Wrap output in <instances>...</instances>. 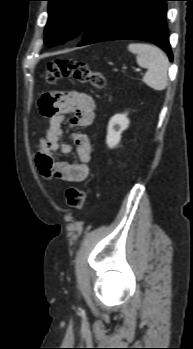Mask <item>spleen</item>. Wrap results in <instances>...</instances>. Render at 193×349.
<instances>
[{"mask_svg":"<svg viewBox=\"0 0 193 349\" xmlns=\"http://www.w3.org/2000/svg\"><path fill=\"white\" fill-rule=\"evenodd\" d=\"M128 49L137 55L138 65L148 70L143 76V82L154 90H164L168 83L169 68L166 54L158 47L146 43H131Z\"/></svg>","mask_w":193,"mask_h":349,"instance_id":"3e777b00","label":"spleen"}]
</instances>
